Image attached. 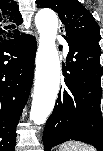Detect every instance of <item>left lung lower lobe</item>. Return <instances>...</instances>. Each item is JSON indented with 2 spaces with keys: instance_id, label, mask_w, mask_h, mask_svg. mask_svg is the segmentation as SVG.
Returning <instances> with one entry per match:
<instances>
[{
  "instance_id": "1",
  "label": "left lung lower lobe",
  "mask_w": 103,
  "mask_h": 151,
  "mask_svg": "<svg viewBox=\"0 0 103 151\" xmlns=\"http://www.w3.org/2000/svg\"><path fill=\"white\" fill-rule=\"evenodd\" d=\"M66 40L70 52L63 71L65 85L45 126L44 149L77 140L103 151L101 48L98 42Z\"/></svg>"
}]
</instances>
